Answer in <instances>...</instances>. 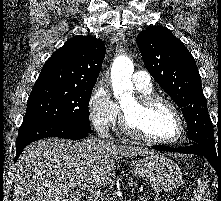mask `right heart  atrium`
I'll return each mask as SVG.
<instances>
[{
  "label": "right heart atrium",
  "mask_w": 221,
  "mask_h": 201,
  "mask_svg": "<svg viewBox=\"0 0 221 201\" xmlns=\"http://www.w3.org/2000/svg\"><path fill=\"white\" fill-rule=\"evenodd\" d=\"M89 119L94 128L100 132L110 130L119 117V107L105 86L97 87L88 104Z\"/></svg>",
  "instance_id": "obj_1"
}]
</instances>
